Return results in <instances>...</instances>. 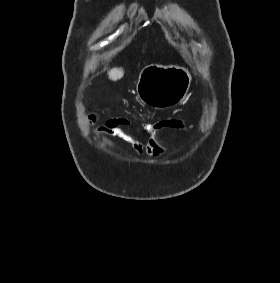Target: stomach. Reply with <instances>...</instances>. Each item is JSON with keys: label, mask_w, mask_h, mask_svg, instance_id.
Returning <instances> with one entry per match:
<instances>
[{"label": "stomach", "mask_w": 280, "mask_h": 283, "mask_svg": "<svg viewBox=\"0 0 280 283\" xmlns=\"http://www.w3.org/2000/svg\"><path fill=\"white\" fill-rule=\"evenodd\" d=\"M190 84L191 75L185 67L151 64L141 70L136 90L143 103L165 109L182 102Z\"/></svg>", "instance_id": "0dacf381"}]
</instances>
